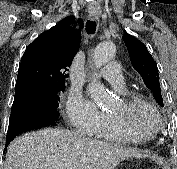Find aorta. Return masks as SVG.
I'll return each mask as SVG.
<instances>
[{"label": "aorta", "mask_w": 177, "mask_h": 169, "mask_svg": "<svg viewBox=\"0 0 177 169\" xmlns=\"http://www.w3.org/2000/svg\"><path fill=\"white\" fill-rule=\"evenodd\" d=\"M116 53L115 45L111 42H104L97 45L93 51V62L96 68H100L110 62ZM88 94L95 103L106 106L110 103L111 97L106 92L105 87L96 79L88 86Z\"/></svg>", "instance_id": "obj_1"}]
</instances>
